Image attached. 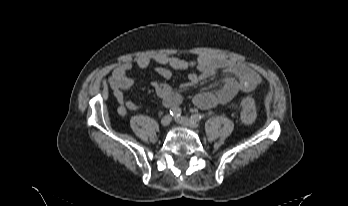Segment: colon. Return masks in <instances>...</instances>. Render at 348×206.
Masks as SVG:
<instances>
[{
	"label": "colon",
	"mask_w": 348,
	"mask_h": 206,
	"mask_svg": "<svg viewBox=\"0 0 348 206\" xmlns=\"http://www.w3.org/2000/svg\"><path fill=\"white\" fill-rule=\"evenodd\" d=\"M241 119L245 124H252L255 120V111L253 101L243 97L239 101Z\"/></svg>",
	"instance_id": "obj_1"
}]
</instances>
